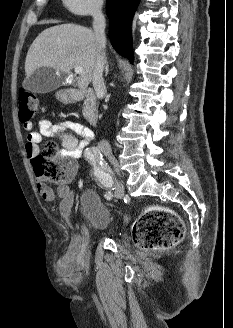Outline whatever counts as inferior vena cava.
<instances>
[{"label": "inferior vena cava", "instance_id": "1", "mask_svg": "<svg viewBox=\"0 0 233 328\" xmlns=\"http://www.w3.org/2000/svg\"><path fill=\"white\" fill-rule=\"evenodd\" d=\"M93 29L96 35V40L99 44L97 57L92 74V83L98 97L106 95V85L103 79V69L106 63L104 46L106 45L105 26L106 21L102 13V5H98L93 11ZM98 147L101 150H110V144L106 140H102Z\"/></svg>", "mask_w": 233, "mask_h": 328}]
</instances>
